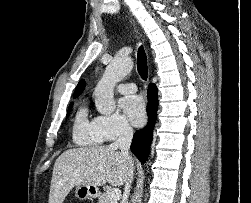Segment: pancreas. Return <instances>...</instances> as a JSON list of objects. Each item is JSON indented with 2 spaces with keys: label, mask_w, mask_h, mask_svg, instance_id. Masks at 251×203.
<instances>
[{
  "label": "pancreas",
  "mask_w": 251,
  "mask_h": 203,
  "mask_svg": "<svg viewBox=\"0 0 251 203\" xmlns=\"http://www.w3.org/2000/svg\"><path fill=\"white\" fill-rule=\"evenodd\" d=\"M98 203H116V202L108 196V192H105L99 196Z\"/></svg>",
  "instance_id": "pancreas-1"
}]
</instances>
